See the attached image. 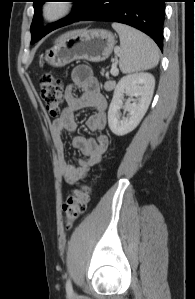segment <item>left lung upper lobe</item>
<instances>
[{"mask_svg":"<svg viewBox=\"0 0 195 299\" xmlns=\"http://www.w3.org/2000/svg\"><path fill=\"white\" fill-rule=\"evenodd\" d=\"M33 2L34 18L31 24V43H35L46 34L57 28L76 22L83 15V13L89 9L92 0H74L75 5L73 12L69 16L59 20L58 22L50 24L46 28L40 26L41 5L46 2V0H33Z\"/></svg>","mask_w":195,"mask_h":299,"instance_id":"1","label":"left lung upper lobe"}]
</instances>
